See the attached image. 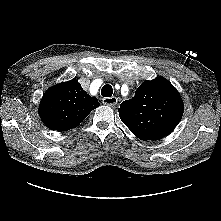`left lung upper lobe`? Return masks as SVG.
Wrapping results in <instances>:
<instances>
[{
	"instance_id": "5c2ea615",
	"label": "left lung upper lobe",
	"mask_w": 221,
	"mask_h": 221,
	"mask_svg": "<svg viewBox=\"0 0 221 221\" xmlns=\"http://www.w3.org/2000/svg\"><path fill=\"white\" fill-rule=\"evenodd\" d=\"M183 101L166 79L158 77L143 82L135 98L121 103L119 116L141 140H158L176 127L183 115Z\"/></svg>"
}]
</instances>
